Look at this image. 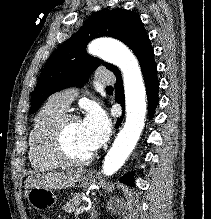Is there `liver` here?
Returning <instances> with one entry per match:
<instances>
[{
    "mask_svg": "<svg viewBox=\"0 0 211 219\" xmlns=\"http://www.w3.org/2000/svg\"><path fill=\"white\" fill-rule=\"evenodd\" d=\"M84 170H71L57 173L34 174L26 179V188H44L48 190H60L70 188L77 183ZM27 194V191H26Z\"/></svg>",
    "mask_w": 211,
    "mask_h": 219,
    "instance_id": "6515ba94",
    "label": "liver"
}]
</instances>
